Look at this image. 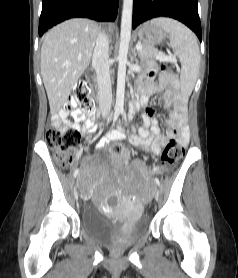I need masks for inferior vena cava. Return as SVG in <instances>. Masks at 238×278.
Here are the masks:
<instances>
[{"mask_svg":"<svg viewBox=\"0 0 238 278\" xmlns=\"http://www.w3.org/2000/svg\"><path fill=\"white\" fill-rule=\"evenodd\" d=\"M98 85V101L103 117H108L112 104L109 65V40L104 32H99L92 57Z\"/></svg>","mask_w":238,"mask_h":278,"instance_id":"obj_1","label":"inferior vena cava"}]
</instances>
